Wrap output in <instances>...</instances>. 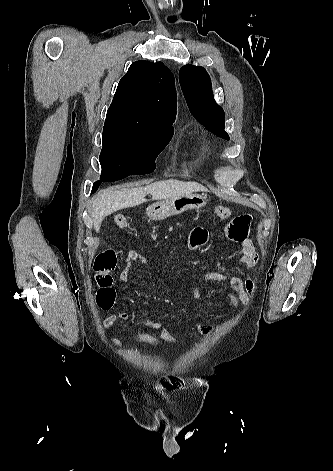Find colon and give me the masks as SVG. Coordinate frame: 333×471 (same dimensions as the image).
<instances>
[{
  "mask_svg": "<svg viewBox=\"0 0 333 471\" xmlns=\"http://www.w3.org/2000/svg\"><path fill=\"white\" fill-rule=\"evenodd\" d=\"M215 214L221 219L231 215V209L226 206H217ZM115 224L120 228L128 226V220L124 215L114 218ZM117 264V253L113 248H107L100 252L94 261L95 279L98 286L97 304L103 309H109L115 298L113 289V272ZM135 341L145 345H158L163 340L159 335L148 332H139L135 335Z\"/></svg>",
  "mask_w": 333,
  "mask_h": 471,
  "instance_id": "5ec220e1",
  "label": "colon"
}]
</instances>
